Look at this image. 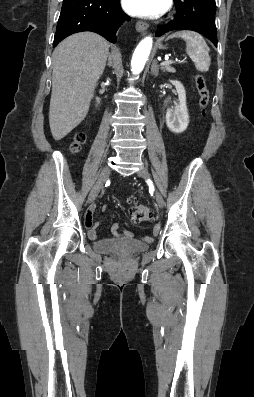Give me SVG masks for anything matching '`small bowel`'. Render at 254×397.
<instances>
[{
  "instance_id": "obj_1",
  "label": "small bowel",
  "mask_w": 254,
  "mask_h": 397,
  "mask_svg": "<svg viewBox=\"0 0 254 397\" xmlns=\"http://www.w3.org/2000/svg\"><path fill=\"white\" fill-rule=\"evenodd\" d=\"M103 210L106 211L107 207L105 206ZM94 212H95V205H91L87 209V211L85 213V218H84L85 226H86L87 231H88V236L92 240H95L97 238V236H98L97 229L99 227V223L98 222H94V220H93ZM158 231H159V226L156 225L155 228H154L153 235L155 236L158 233ZM112 233L116 237H122V236H124V237H132V233H130L129 231L124 230L123 232H119V224L118 223H115L112 226ZM146 239L147 240H151V237H147Z\"/></svg>"
}]
</instances>
